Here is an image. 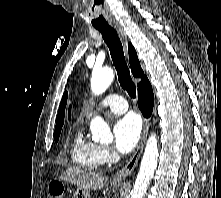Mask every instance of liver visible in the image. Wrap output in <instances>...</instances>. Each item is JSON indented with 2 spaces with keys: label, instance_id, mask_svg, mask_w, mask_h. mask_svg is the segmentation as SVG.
Returning <instances> with one entry per match:
<instances>
[{
  "label": "liver",
  "instance_id": "obj_1",
  "mask_svg": "<svg viewBox=\"0 0 221 198\" xmlns=\"http://www.w3.org/2000/svg\"><path fill=\"white\" fill-rule=\"evenodd\" d=\"M60 180L70 182L81 188L99 190L106 185L108 178L101 173L69 168L60 176Z\"/></svg>",
  "mask_w": 221,
  "mask_h": 198
}]
</instances>
